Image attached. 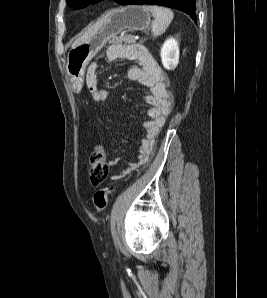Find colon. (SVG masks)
I'll use <instances>...</instances> for the list:
<instances>
[{
    "instance_id": "colon-1",
    "label": "colon",
    "mask_w": 267,
    "mask_h": 298,
    "mask_svg": "<svg viewBox=\"0 0 267 298\" xmlns=\"http://www.w3.org/2000/svg\"><path fill=\"white\" fill-rule=\"evenodd\" d=\"M109 169V162L105 150L96 146L90 156V181L94 186H99L105 180ZM112 189L105 186L97 190L93 196L94 208L97 212L103 211L107 205Z\"/></svg>"
}]
</instances>
